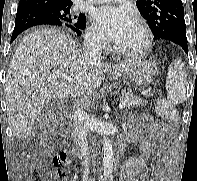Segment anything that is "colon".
<instances>
[{
    "instance_id": "1",
    "label": "colon",
    "mask_w": 197,
    "mask_h": 181,
    "mask_svg": "<svg viewBox=\"0 0 197 181\" xmlns=\"http://www.w3.org/2000/svg\"><path fill=\"white\" fill-rule=\"evenodd\" d=\"M157 111L159 115L171 125L177 123L179 115L177 110L170 102L165 99H159L157 102ZM52 121L49 118L43 121L35 128V135L44 137L51 128ZM53 165L58 167L56 174L58 181H65L68 175L69 161L65 151L58 152L53 158ZM27 175L29 181H51L48 178L49 172L45 161L40 153L29 155L27 160Z\"/></svg>"
}]
</instances>
